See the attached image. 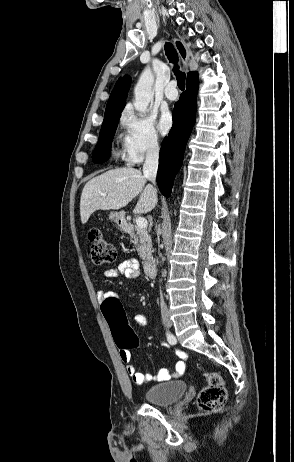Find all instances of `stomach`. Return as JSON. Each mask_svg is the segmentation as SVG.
<instances>
[{
    "mask_svg": "<svg viewBox=\"0 0 294 462\" xmlns=\"http://www.w3.org/2000/svg\"><path fill=\"white\" fill-rule=\"evenodd\" d=\"M123 212H110L109 219L117 225L122 226L124 224Z\"/></svg>",
    "mask_w": 294,
    "mask_h": 462,
    "instance_id": "0dacf381",
    "label": "stomach"
}]
</instances>
